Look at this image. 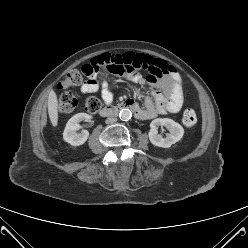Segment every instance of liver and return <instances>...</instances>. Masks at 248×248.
<instances>
[{"mask_svg": "<svg viewBox=\"0 0 248 248\" xmlns=\"http://www.w3.org/2000/svg\"><path fill=\"white\" fill-rule=\"evenodd\" d=\"M48 114L52 125L55 127L58 123V100L56 93L51 91L48 97Z\"/></svg>", "mask_w": 248, "mask_h": 248, "instance_id": "liver-1", "label": "liver"}]
</instances>
